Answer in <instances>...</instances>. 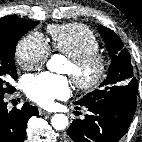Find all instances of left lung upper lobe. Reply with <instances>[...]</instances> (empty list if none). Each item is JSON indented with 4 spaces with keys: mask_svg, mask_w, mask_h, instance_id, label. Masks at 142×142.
<instances>
[{
    "mask_svg": "<svg viewBox=\"0 0 142 142\" xmlns=\"http://www.w3.org/2000/svg\"><path fill=\"white\" fill-rule=\"evenodd\" d=\"M99 33L107 45L111 58L108 76L101 83L99 89L88 93L81 100L75 102L80 106L124 93H138V84L131 65V57L122 41L115 32L104 26L99 27Z\"/></svg>",
    "mask_w": 142,
    "mask_h": 142,
    "instance_id": "5c2ea615",
    "label": "left lung upper lobe"
}]
</instances>
